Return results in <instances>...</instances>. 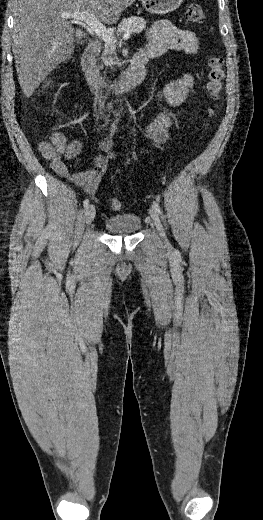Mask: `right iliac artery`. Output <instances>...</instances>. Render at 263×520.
<instances>
[{"mask_svg":"<svg viewBox=\"0 0 263 520\" xmlns=\"http://www.w3.org/2000/svg\"><path fill=\"white\" fill-rule=\"evenodd\" d=\"M115 128H116V126H115V124H113L112 129H111V136H113ZM83 206H84V208H87L89 206V200L88 199L84 200Z\"/></svg>","mask_w":263,"mask_h":520,"instance_id":"right-iliac-artery-1","label":"right iliac artery"}]
</instances>
